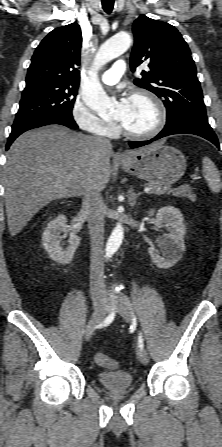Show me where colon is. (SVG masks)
I'll list each match as a JSON object with an SVG mask.
<instances>
[{
    "label": "colon",
    "instance_id": "5ec220e1",
    "mask_svg": "<svg viewBox=\"0 0 222 447\" xmlns=\"http://www.w3.org/2000/svg\"><path fill=\"white\" fill-rule=\"evenodd\" d=\"M95 361L98 365L106 368H115L118 365V362L115 359L110 358L102 353L96 354Z\"/></svg>",
    "mask_w": 222,
    "mask_h": 447
}]
</instances>
